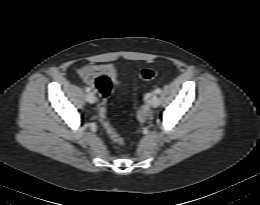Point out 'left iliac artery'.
<instances>
[{"instance_id": "obj_1", "label": "left iliac artery", "mask_w": 260, "mask_h": 205, "mask_svg": "<svg viewBox=\"0 0 260 205\" xmlns=\"http://www.w3.org/2000/svg\"><path fill=\"white\" fill-rule=\"evenodd\" d=\"M160 92H161V89H160V88H157V89L155 90V93H156V94H160Z\"/></svg>"}]
</instances>
